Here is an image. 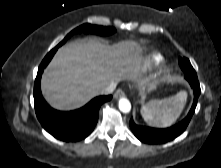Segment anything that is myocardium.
<instances>
[{
	"label": "myocardium",
	"mask_w": 221,
	"mask_h": 168,
	"mask_svg": "<svg viewBox=\"0 0 221 168\" xmlns=\"http://www.w3.org/2000/svg\"><path fill=\"white\" fill-rule=\"evenodd\" d=\"M168 72H169V71H166V72H165V75H167V74H168Z\"/></svg>",
	"instance_id": "f54148a6"
}]
</instances>
